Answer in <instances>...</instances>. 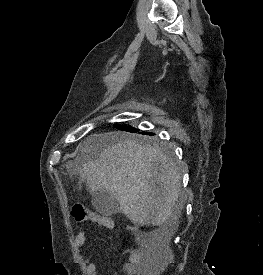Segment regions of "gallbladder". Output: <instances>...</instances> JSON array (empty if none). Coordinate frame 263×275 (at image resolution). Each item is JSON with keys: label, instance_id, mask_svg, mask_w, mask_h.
Listing matches in <instances>:
<instances>
[{"label": "gallbladder", "instance_id": "gallbladder-1", "mask_svg": "<svg viewBox=\"0 0 263 275\" xmlns=\"http://www.w3.org/2000/svg\"><path fill=\"white\" fill-rule=\"evenodd\" d=\"M92 205L97 212L104 216H112L121 212L118 201L106 190L92 193Z\"/></svg>", "mask_w": 263, "mask_h": 275}]
</instances>
